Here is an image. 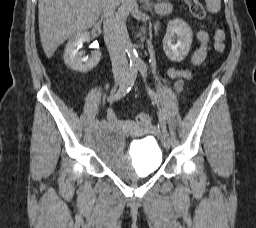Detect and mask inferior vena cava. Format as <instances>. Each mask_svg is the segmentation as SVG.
Here are the masks:
<instances>
[{
	"label": "inferior vena cava",
	"mask_w": 256,
	"mask_h": 228,
	"mask_svg": "<svg viewBox=\"0 0 256 228\" xmlns=\"http://www.w3.org/2000/svg\"><path fill=\"white\" fill-rule=\"evenodd\" d=\"M119 3L120 0H103L104 40L111 57L113 74L126 75L128 73V61L119 37L115 15Z\"/></svg>",
	"instance_id": "obj_1"
}]
</instances>
